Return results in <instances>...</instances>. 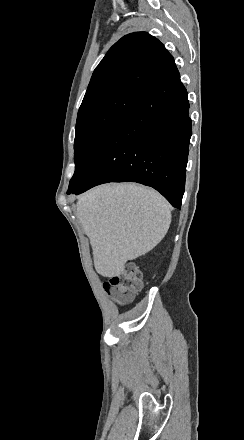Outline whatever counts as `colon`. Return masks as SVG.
Returning <instances> with one entry per match:
<instances>
[{
	"instance_id": "5ec220e1",
	"label": "colon",
	"mask_w": 244,
	"mask_h": 440,
	"mask_svg": "<svg viewBox=\"0 0 244 440\" xmlns=\"http://www.w3.org/2000/svg\"><path fill=\"white\" fill-rule=\"evenodd\" d=\"M142 275L137 266L127 263L121 273L105 279L103 289L108 294H114L120 303L128 302L142 285Z\"/></svg>"
}]
</instances>
